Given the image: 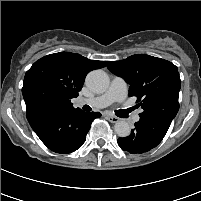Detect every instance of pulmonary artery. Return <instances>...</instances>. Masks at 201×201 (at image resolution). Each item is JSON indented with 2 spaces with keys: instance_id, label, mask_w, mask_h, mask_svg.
I'll return each instance as SVG.
<instances>
[{
  "instance_id": "e3ab8cb5",
  "label": "pulmonary artery",
  "mask_w": 201,
  "mask_h": 201,
  "mask_svg": "<svg viewBox=\"0 0 201 201\" xmlns=\"http://www.w3.org/2000/svg\"><path fill=\"white\" fill-rule=\"evenodd\" d=\"M127 96V84L124 79L120 77H114L110 83L109 88L100 96H97L87 103L96 108H104L114 102L123 101ZM84 102V101H82ZM140 115L136 113L133 116V121L138 122Z\"/></svg>"
}]
</instances>
